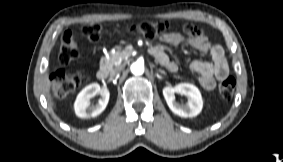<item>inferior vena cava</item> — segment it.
I'll return each instance as SVG.
<instances>
[{
  "instance_id": "602c4592",
  "label": "inferior vena cava",
  "mask_w": 283,
  "mask_h": 162,
  "mask_svg": "<svg viewBox=\"0 0 283 162\" xmlns=\"http://www.w3.org/2000/svg\"><path fill=\"white\" fill-rule=\"evenodd\" d=\"M119 72V69H114L111 71L110 75L115 76Z\"/></svg>"
}]
</instances>
